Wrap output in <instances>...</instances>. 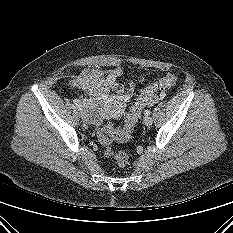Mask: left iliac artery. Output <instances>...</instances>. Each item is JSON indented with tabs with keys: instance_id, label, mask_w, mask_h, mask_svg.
Instances as JSON below:
<instances>
[{
	"instance_id": "1",
	"label": "left iliac artery",
	"mask_w": 233,
	"mask_h": 233,
	"mask_svg": "<svg viewBox=\"0 0 233 233\" xmlns=\"http://www.w3.org/2000/svg\"><path fill=\"white\" fill-rule=\"evenodd\" d=\"M151 111L150 110H145V115H150Z\"/></svg>"
}]
</instances>
